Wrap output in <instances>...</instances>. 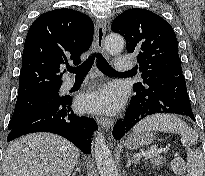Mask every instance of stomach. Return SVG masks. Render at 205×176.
<instances>
[{
	"label": "stomach",
	"mask_w": 205,
	"mask_h": 176,
	"mask_svg": "<svg viewBox=\"0 0 205 176\" xmlns=\"http://www.w3.org/2000/svg\"><path fill=\"white\" fill-rule=\"evenodd\" d=\"M155 139L153 133L149 131L133 132L125 141V146L128 149H137L151 144Z\"/></svg>",
	"instance_id": "0dacf381"
}]
</instances>
